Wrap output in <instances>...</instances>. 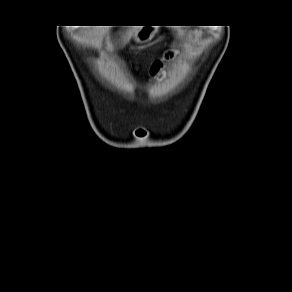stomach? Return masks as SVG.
Wrapping results in <instances>:
<instances>
[{"label":"stomach","instance_id":"1","mask_svg":"<svg viewBox=\"0 0 292 292\" xmlns=\"http://www.w3.org/2000/svg\"><path fill=\"white\" fill-rule=\"evenodd\" d=\"M149 38H151V32L149 29H144L137 36V40H148Z\"/></svg>","mask_w":292,"mask_h":292}]
</instances>
